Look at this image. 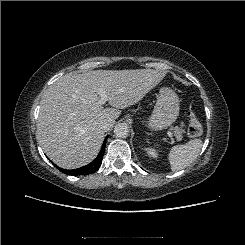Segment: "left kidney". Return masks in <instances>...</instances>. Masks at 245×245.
<instances>
[{"mask_svg":"<svg viewBox=\"0 0 245 245\" xmlns=\"http://www.w3.org/2000/svg\"><path fill=\"white\" fill-rule=\"evenodd\" d=\"M145 151L150 157L157 158L158 154L154 148H146Z\"/></svg>","mask_w":245,"mask_h":245,"instance_id":"left-kidney-1","label":"left kidney"}]
</instances>
